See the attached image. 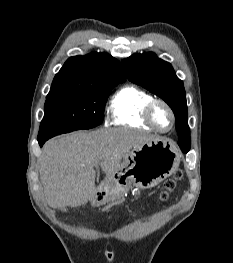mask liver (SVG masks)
<instances>
[{
	"mask_svg": "<svg viewBox=\"0 0 233 263\" xmlns=\"http://www.w3.org/2000/svg\"><path fill=\"white\" fill-rule=\"evenodd\" d=\"M156 136L128 128L75 132L48 141L39 159L40 179L47 203L54 208L77 207L92 200L98 165L107 179L121 167L133 147Z\"/></svg>",
	"mask_w": 233,
	"mask_h": 263,
	"instance_id": "6515ba94",
	"label": "liver"
}]
</instances>
